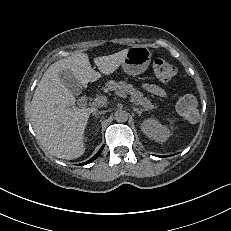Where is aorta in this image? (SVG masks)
<instances>
[{"label":"aorta","mask_w":231,"mask_h":231,"mask_svg":"<svg viewBox=\"0 0 231 231\" xmlns=\"http://www.w3.org/2000/svg\"><path fill=\"white\" fill-rule=\"evenodd\" d=\"M114 118L117 122H126L128 120V113L124 110H118L115 112Z\"/></svg>","instance_id":"obj_1"}]
</instances>
